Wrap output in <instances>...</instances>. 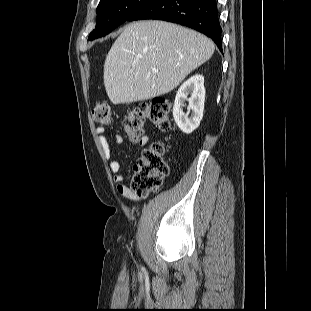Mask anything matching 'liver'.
<instances>
[{
	"instance_id": "liver-1",
	"label": "liver",
	"mask_w": 311,
	"mask_h": 311,
	"mask_svg": "<svg viewBox=\"0 0 311 311\" xmlns=\"http://www.w3.org/2000/svg\"><path fill=\"white\" fill-rule=\"evenodd\" d=\"M211 39L172 23L149 20L127 25L104 63V86L113 104L169 93L214 53Z\"/></svg>"
}]
</instances>
